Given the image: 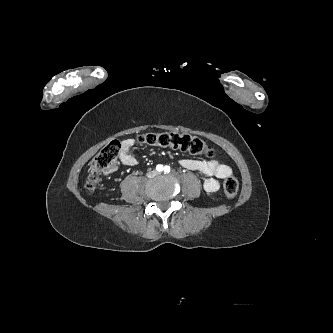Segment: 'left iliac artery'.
<instances>
[{
  "instance_id": "1",
  "label": "left iliac artery",
  "mask_w": 333,
  "mask_h": 333,
  "mask_svg": "<svg viewBox=\"0 0 333 333\" xmlns=\"http://www.w3.org/2000/svg\"><path fill=\"white\" fill-rule=\"evenodd\" d=\"M164 172H165V173H169V172H170V166L166 165V166L164 167Z\"/></svg>"
}]
</instances>
